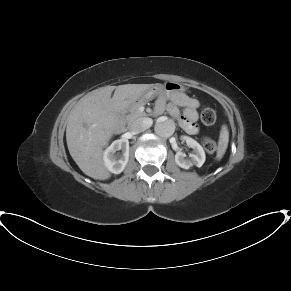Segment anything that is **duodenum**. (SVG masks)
Segmentation results:
<instances>
[{
	"instance_id": "1",
	"label": "duodenum",
	"mask_w": 291,
	"mask_h": 291,
	"mask_svg": "<svg viewBox=\"0 0 291 291\" xmlns=\"http://www.w3.org/2000/svg\"><path fill=\"white\" fill-rule=\"evenodd\" d=\"M113 129L116 133H121L125 131V124L121 117V109L115 111V119L113 123Z\"/></svg>"
}]
</instances>
